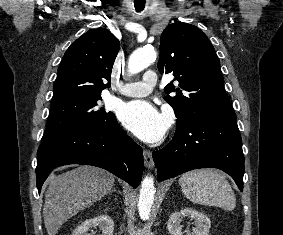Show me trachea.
<instances>
[{
    "label": "trachea",
    "mask_w": 283,
    "mask_h": 235,
    "mask_svg": "<svg viewBox=\"0 0 283 235\" xmlns=\"http://www.w3.org/2000/svg\"><path fill=\"white\" fill-rule=\"evenodd\" d=\"M134 6H135L136 11L140 12V11H142L144 9L145 4L144 3H137V2H135Z\"/></svg>",
    "instance_id": "3493384b"
}]
</instances>
